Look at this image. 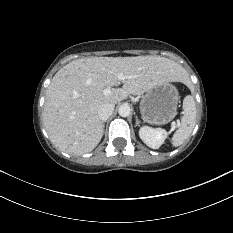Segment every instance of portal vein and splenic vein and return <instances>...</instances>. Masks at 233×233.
<instances>
[{
    "label": "portal vein and splenic vein",
    "instance_id": "obj_1",
    "mask_svg": "<svg viewBox=\"0 0 233 233\" xmlns=\"http://www.w3.org/2000/svg\"><path fill=\"white\" fill-rule=\"evenodd\" d=\"M117 78H118L119 81L123 82L125 79H127V76H125L122 73H120V74L117 75ZM110 93H111V88H106V89L103 90V94L104 95H109ZM176 125L178 126L179 122H177V123L176 122H172V126L174 128L176 127Z\"/></svg>",
    "mask_w": 233,
    "mask_h": 233
}]
</instances>
